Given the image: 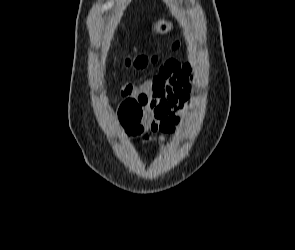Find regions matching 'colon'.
<instances>
[{
	"label": "colon",
	"mask_w": 295,
	"mask_h": 250,
	"mask_svg": "<svg viewBox=\"0 0 295 250\" xmlns=\"http://www.w3.org/2000/svg\"><path fill=\"white\" fill-rule=\"evenodd\" d=\"M179 42H175L172 45V49H177ZM156 56L139 55L133 58L127 57L124 60L126 66H133L135 68H144L150 63L157 61ZM118 118L120 123L128 128H135L138 126L143 118V109L141 104L135 99H125L118 108Z\"/></svg>",
	"instance_id": "5ec220e1"
}]
</instances>
